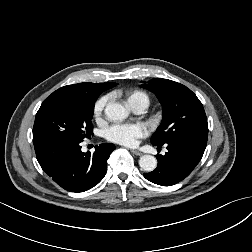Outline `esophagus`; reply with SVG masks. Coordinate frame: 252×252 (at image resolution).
I'll list each match as a JSON object with an SVG mask.
<instances>
[{"instance_id": "34e87169", "label": "esophagus", "mask_w": 252, "mask_h": 252, "mask_svg": "<svg viewBox=\"0 0 252 252\" xmlns=\"http://www.w3.org/2000/svg\"><path fill=\"white\" fill-rule=\"evenodd\" d=\"M130 151H131L132 154H134V155H136V156H141V155H142V153L139 152L138 150L131 149Z\"/></svg>"}]
</instances>
